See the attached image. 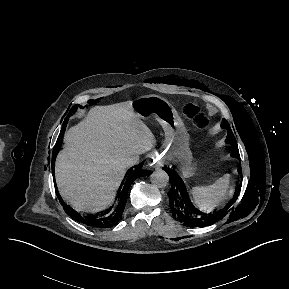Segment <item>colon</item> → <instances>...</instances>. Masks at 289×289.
<instances>
[{
  "mask_svg": "<svg viewBox=\"0 0 289 289\" xmlns=\"http://www.w3.org/2000/svg\"><path fill=\"white\" fill-rule=\"evenodd\" d=\"M185 110L191 117H198L199 115V108L192 103H187L185 105Z\"/></svg>",
  "mask_w": 289,
  "mask_h": 289,
  "instance_id": "5ec220e1",
  "label": "colon"
}]
</instances>
